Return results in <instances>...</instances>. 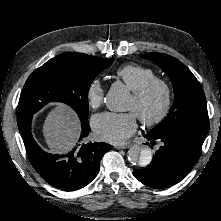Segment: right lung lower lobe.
<instances>
[{
  "instance_id": "obj_1",
  "label": "right lung lower lobe",
  "mask_w": 221,
  "mask_h": 221,
  "mask_svg": "<svg viewBox=\"0 0 221 221\" xmlns=\"http://www.w3.org/2000/svg\"><path fill=\"white\" fill-rule=\"evenodd\" d=\"M32 116L18 122L30 163L39 175L51 186L75 191L88 185L98 174L103 155L112 146L101 142L79 144L66 155H53L43 151L34 141L31 134ZM80 140L88 136L90 126L82 123Z\"/></svg>"
}]
</instances>
